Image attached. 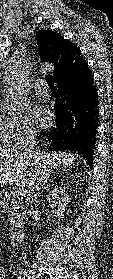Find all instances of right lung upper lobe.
<instances>
[{
  "label": "right lung upper lobe",
  "mask_w": 113,
  "mask_h": 279,
  "mask_svg": "<svg viewBox=\"0 0 113 279\" xmlns=\"http://www.w3.org/2000/svg\"><path fill=\"white\" fill-rule=\"evenodd\" d=\"M36 39L42 61L52 63L55 67L52 77L56 83L79 73L86 64L81 51L58 33L40 30Z\"/></svg>",
  "instance_id": "cb5924a9"
}]
</instances>
